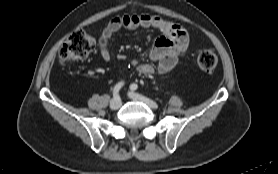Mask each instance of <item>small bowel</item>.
I'll return each mask as SVG.
<instances>
[{
  "label": "small bowel",
  "mask_w": 278,
  "mask_h": 174,
  "mask_svg": "<svg viewBox=\"0 0 278 174\" xmlns=\"http://www.w3.org/2000/svg\"><path fill=\"white\" fill-rule=\"evenodd\" d=\"M138 27L154 28L160 33L150 51V57L157 63V67L148 63H140L136 58L131 60V64L140 73L147 75L153 74L155 71L159 74H167L172 71L179 58L187 52L189 45L188 33L182 26L150 14L122 15L112 19L103 28L98 40L99 51L103 60L107 62L111 60L108 42L112 35L122 29L131 30Z\"/></svg>",
  "instance_id": "1"
}]
</instances>
